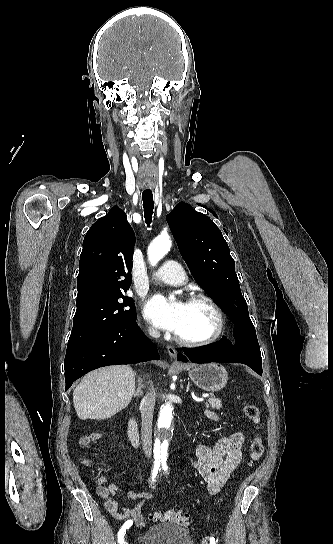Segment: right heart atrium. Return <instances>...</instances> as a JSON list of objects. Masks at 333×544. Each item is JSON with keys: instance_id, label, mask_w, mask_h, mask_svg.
<instances>
[{"instance_id": "d8ad5b80", "label": "right heart atrium", "mask_w": 333, "mask_h": 544, "mask_svg": "<svg viewBox=\"0 0 333 544\" xmlns=\"http://www.w3.org/2000/svg\"><path fill=\"white\" fill-rule=\"evenodd\" d=\"M147 332L151 336H156L157 335V331L153 327H148Z\"/></svg>"}]
</instances>
